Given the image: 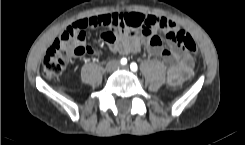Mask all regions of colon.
Wrapping results in <instances>:
<instances>
[{"label": "colon", "instance_id": "1", "mask_svg": "<svg viewBox=\"0 0 245 145\" xmlns=\"http://www.w3.org/2000/svg\"><path fill=\"white\" fill-rule=\"evenodd\" d=\"M153 20L151 18V21ZM104 21L105 19L102 16H95L88 19V24L91 27L102 26L105 23ZM160 29L161 26L156 24L142 28L141 31L149 33L150 31H158ZM85 31V27L79 26V21L74 22L68 25L63 34L53 42L42 62V73L46 78L59 76L71 57L82 56L87 53V47L80 43ZM173 36L186 49L196 52L197 45L186 31L176 29L173 31ZM157 40L161 41V37L158 36Z\"/></svg>", "mask_w": 245, "mask_h": 145}]
</instances>
